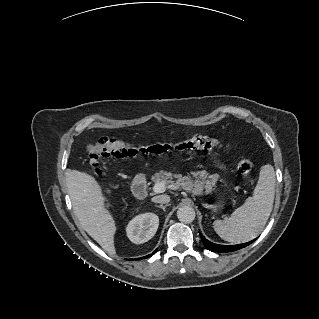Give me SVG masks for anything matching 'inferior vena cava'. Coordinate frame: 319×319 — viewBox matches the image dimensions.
Returning <instances> with one entry per match:
<instances>
[{"mask_svg": "<svg viewBox=\"0 0 319 319\" xmlns=\"http://www.w3.org/2000/svg\"><path fill=\"white\" fill-rule=\"evenodd\" d=\"M152 201L154 203L166 204V203L170 202V197L166 194L158 195V196L153 197Z\"/></svg>", "mask_w": 319, "mask_h": 319, "instance_id": "1", "label": "inferior vena cava"}]
</instances>
